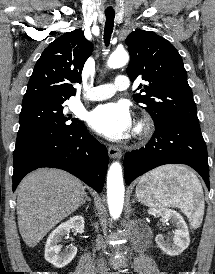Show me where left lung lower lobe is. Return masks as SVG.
Listing matches in <instances>:
<instances>
[{
  "instance_id": "left-lung-lower-lobe-1",
  "label": "left lung lower lobe",
  "mask_w": 215,
  "mask_h": 274,
  "mask_svg": "<svg viewBox=\"0 0 215 274\" xmlns=\"http://www.w3.org/2000/svg\"><path fill=\"white\" fill-rule=\"evenodd\" d=\"M173 163L195 169L210 189L207 147L199 125L180 121L155 125V133L145 147L125 154L126 184L155 167Z\"/></svg>"
}]
</instances>
